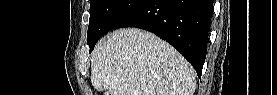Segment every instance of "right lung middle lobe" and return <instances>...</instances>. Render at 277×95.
<instances>
[{
  "label": "right lung middle lobe",
  "mask_w": 277,
  "mask_h": 95,
  "mask_svg": "<svg viewBox=\"0 0 277 95\" xmlns=\"http://www.w3.org/2000/svg\"><path fill=\"white\" fill-rule=\"evenodd\" d=\"M144 0H90L87 43L90 51L96 42Z\"/></svg>",
  "instance_id": "dd1d6c3e"
}]
</instances>
